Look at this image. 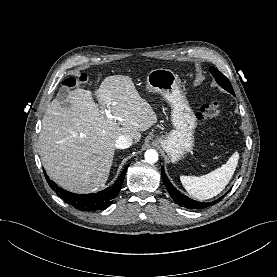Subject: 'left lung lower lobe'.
<instances>
[{
  "label": "left lung lower lobe",
  "mask_w": 277,
  "mask_h": 277,
  "mask_svg": "<svg viewBox=\"0 0 277 277\" xmlns=\"http://www.w3.org/2000/svg\"><path fill=\"white\" fill-rule=\"evenodd\" d=\"M161 174H162V180L166 186V189L168 190V192H169L170 196L172 197V199L174 200V202L176 204H178L179 206H182V207H185L188 209H204V208H207L209 206L216 204L225 196V195H223L219 199H217L213 202H208V203L194 201V200L188 198L187 196L183 195L182 193L177 191V189L175 187H173V185L170 183L167 176L165 175L163 167L161 168Z\"/></svg>",
  "instance_id": "left-lung-lower-lobe-1"
}]
</instances>
